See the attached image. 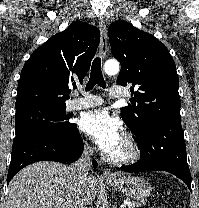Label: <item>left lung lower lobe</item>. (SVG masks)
<instances>
[{"mask_svg":"<svg viewBox=\"0 0 199 208\" xmlns=\"http://www.w3.org/2000/svg\"><path fill=\"white\" fill-rule=\"evenodd\" d=\"M136 143L142 158L135 164L122 166L123 171H167L179 177L191 190V173L181 120H162L149 125L144 137Z\"/></svg>","mask_w":199,"mask_h":208,"instance_id":"1","label":"left lung lower lobe"}]
</instances>
